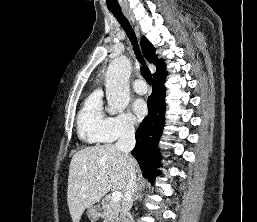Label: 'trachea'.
Returning <instances> with one entry per match:
<instances>
[{
  "label": "trachea",
  "instance_id": "1",
  "mask_svg": "<svg viewBox=\"0 0 257 222\" xmlns=\"http://www.w3.org/2000/svg\"><path fill=\"white\" fill-rule=\"evenodd\" d=\"M110 11L114 15V17L117 19V21L121 24V26L125 30L128 38L130 39V41L133 45V49L136 54V58L139 60V62L141 64V67H140L141 74H142L143 78L146 80V82L151 85L152 75H151L149 68L146 66V64L144 62L143 56L141 55V52L139 50V45H138L133 28L131 27V25L129 24L128 20L125 18V16L123 15L121 10H110Z\"/></svg>",
  "mask_w": 257,
  "mask_h": 222
}]
</instances>
